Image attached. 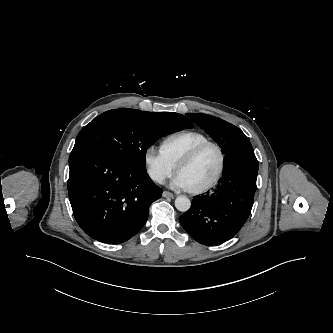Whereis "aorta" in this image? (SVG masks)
I'll return each mask as SVG.
<instances>
[{"instance_id": "762f6f07", "label": "aorta", "mask_w": 333, "mask_h": 333, "mask_svg": "<svg viewBox=\"0 0 333 333\" xmlns=\"http://www.w3.org/2000/svg\"><path fill=\"white\" fill-rule=\"evenodd\" d=\"M175 207L177 208V210H179L181 212H186V211H188L190 209L191 202L185 196H178L175 199Z\"/></svg>"}]
</instances>
